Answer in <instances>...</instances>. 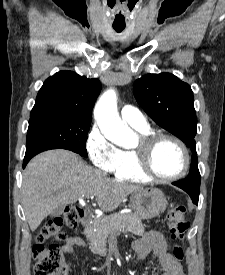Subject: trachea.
Masks as SVG:
<instances>
[{
    "label": "trachea",
    "instance_id": "3493384b",
    "mask_svg": "<svg viewBox=\"0 0 225 275\" xmlns=\"http://www.w3.org/2000/svg\"><path fill=\"white\" fill-rule=\"evenodd\" d=\"M113 28L118 33L122 32L124 30V27H113Z\"/></svg>",
    "mask_w": 225,
    "mask_h": 275
}]
</instances>
